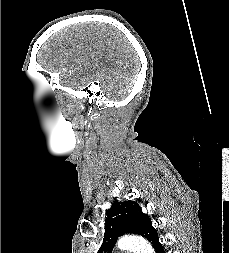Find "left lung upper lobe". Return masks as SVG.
Masks as SVG:
<instances>
[{"label":"left lung upper lobe","mask_w":229,"mask_h":253,"mask_svg":"<svg viewBox=\"0 0 229 253\" xmlns=\"http://www.w3.org/2000/svg\"><path fill=\"white\" fill-rule=\"evenodd\" d=\"M106 215L104 239L97 253H112L118 237L125 233L143 236L152 245L158 241L150 217L142 212L137 202L113 203Z\"/></svg>","instance_id":"left-lung-upper-lobe-1"}]
</instances>
